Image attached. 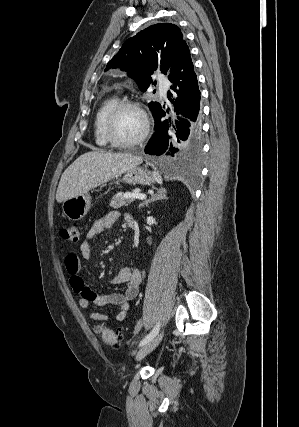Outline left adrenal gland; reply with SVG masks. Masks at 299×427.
Masks as SVG:
<instances>
[{"label":"left adrenal gland","instance_id":"a2214340","mask_svg":"<svg viewBox=\"0 0 299 427\" xmlns=\"http://www.w3.org/2000/svg\"><path fill=\"white\" fill-rule=\"evenodd\" d=\"M166 190L163 188H159L155 194H153L149 199L145 200L143 203L139 205V208L147 206L149 203L154 202L156 200H164L167 199Z\"/></svg>","mask_w":299,"mask_h":427}]
</instances>
